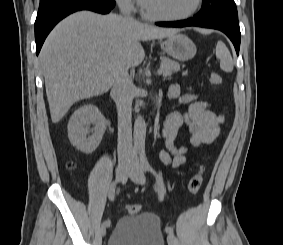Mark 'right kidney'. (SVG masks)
Wrapping results in <instances>:
<instances>
[{
	"label": "right kidney",
	"mask_w": 283,
	"mask_h": 245,
	"mask_svg": "<svg viewBox=\"0 0 283 245\" xmlns=\"http://www.w3.org/2000/svg\"><path fill=\"white\" fill-rule=\"evenodd\" d=\"M90 124L94 127L90 129ZM106 130V120L98 108L87 104L71 116L68 123V137L73 146L85 154L96 150Z\"/></svg>",
	"instance_id": "ca27d5eb"
}]
</instances>
